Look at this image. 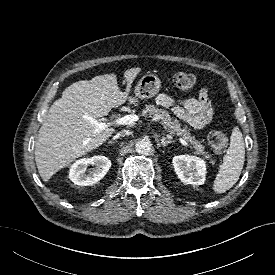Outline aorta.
I'll use <instances>...</instances> for the list:
<instances>
[{
  "mask_svg": "<svg viewBox=\"0 0 275 275\" xmlns=\"http://www.w3.org/2000/svg\"><path fill=\"white\" fill-rule=\"evenodd\" d=\"M135 150L138 154L147 155L152 150V144L147 138L138 140L135 144Z\"/></svg>",
  "mask_w": 275,
  "mask_h": 275,
  "instance_id": "aorta-1",
  "label": "aorta"
}]
</instances>
